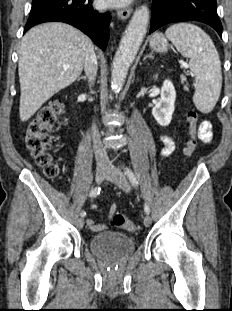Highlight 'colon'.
Wrapping results in <instances>:
<instances>
[{"label":"colon","instance_id":"colon-1","mask_svg":"<svg viewBox=\"0 0 232 311\" xmlns=\"http://www.w3.org/2000/svg\"><path fill=\"white\" fill-rule=\"evenodd\" d=\"M62 110L63 103L58 99L44 106L28 123L24 135V143L27 150L36 163L43 167L45 174L49 177H56L59 174L58 166L53 161L51 155V134L61 126L60 116ZM198 120L199 117L196 111L191 110L187 113V122L189 124V140L185 149L187 155H191L194 152L198 143ZM112 221L116 227L126 231L136 232L138 230L137 225L122 214H114Z\"/></svg>","mask_w":232,"mask_h":311}]
</instances>
